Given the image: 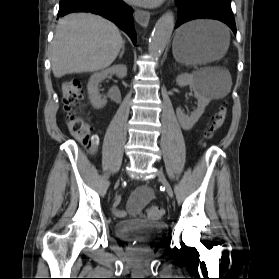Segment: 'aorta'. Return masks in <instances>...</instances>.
Returning <instances> with one entry per match:
<instances>
[{"instance_id": "1", "label": "aorta", "mask_w": 279, "mask_h": 279, "mask_svg": "<svg viewBox=\"0 0 279 279\" xmlns=\"http://www.w3.org/2000/svg\"><path fill=\"white\" fill-rule=\"evenodd\" d=\"M175 25L174 14L171 11L163 14L157 21L149 42V53L154 57L161 56L168 44Z\"/></svg>"}]
</instances>
